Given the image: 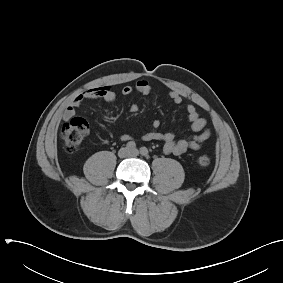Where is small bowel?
<instances>
[{
	"instance_id": "1",
	"label": "small bowel",
	"mask_w": 283,
	"mask_h": 283,
	"mask_svg": "<svg viewBox=\"0 0 283 283\" xmlns=\"http://www.w3.org/2000/svg\"><path fill=\"white\" fill-rule=\"evenodd\" d=\"M137 91L143 95H148L152 91L151 84L146 79H139L135 87L126 85L122 88V94L127 96ZM117 98L116 93L108 86L97 87L87 90L78 96H76L65 108L63 112V119L65 121L70 120L76 113V109L81 105L85 99H101L105 102H114ZM169 98L175 104H181L183 101L182 96L176 91L169 92ZM139 110L138 105L133 104L130 107L131 113H137ZM186 113L188 120L190 121L191 130L195 133L190 138L177 139L176 135L172 131L161 132L160 122L154 121L152 129L146 132L142 139L144 141H161L163 143L162 150L165 154L181 155L188 150H198L202 144L209 139L211 131L207 128V121L203 118L196 107L192 104L186 105ZM121 141H131L132 137L127 134L120 136Z\"/></svg>"
}]
</instances>
